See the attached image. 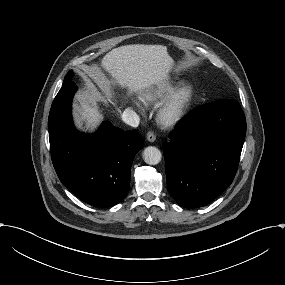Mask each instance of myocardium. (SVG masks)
I'll use <instances>...</instances> for the list:
<instances>
[{
  "instance_id": "myocardium-1",
  "label": "myocardium",
  "mask_w": 285,
  "mask_h": 285,
  "mask_svg": "<svg viewBox=\"0 0 285 285\" xmlns=\"http://www.w3.org/2000/svg\"><path fill=\"white\" fill-rule=\"evenodd\" d=\"M197 97V89L192 83L176 86L162 101L156 121L164 128L180 125L190 113Z\"/></svg>"
}]
</instances>
